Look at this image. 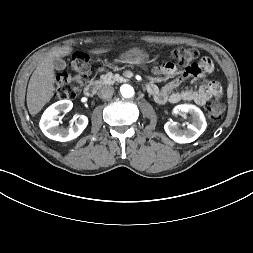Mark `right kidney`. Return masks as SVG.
Here are the masks:
<instances>
[{
	"mask_svg": "<svg viewBox=\"0 0 253 253\" xmlns=\"http://www.w3.org/2000/svg\"><path fill=\"white\" fill-rule=\"evenodd\" d=\"M73 107L70 100H61L46 109L40 120L42 132L50 139L66 142L77 138L88 125V118L81 115L73 126L60 128L59 123L54 118L61 112L67 113Z\"/></svg>",
	"mask_w": 253,
	"mask_h": 253,
	"instance_id": "obj_1",
	"label": "right kidney"
}]
</instances>
